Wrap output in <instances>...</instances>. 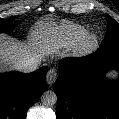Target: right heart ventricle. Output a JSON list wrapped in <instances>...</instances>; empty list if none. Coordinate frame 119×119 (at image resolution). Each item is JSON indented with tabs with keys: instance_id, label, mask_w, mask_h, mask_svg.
I'll return each mask as SVG.
<instances>
[{
	"instance_id": "1",
	"label": "right heart ventricle",
	"mask_w": 119,
	"mask_h": 119,
	"mask_svg": "<svg viewBox=\"0 0 119 119\" xmlns=\"http://www.w3.org/2000/svg\"><path fill=\"white\" fill-rule=\"evenodd\" d=\"M86 33V29L81 25L65 23L58 30V38L55 41V46L58 48L72 47Z\"/></svg>"
}]
</instances>
